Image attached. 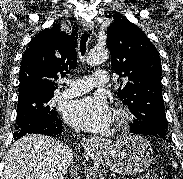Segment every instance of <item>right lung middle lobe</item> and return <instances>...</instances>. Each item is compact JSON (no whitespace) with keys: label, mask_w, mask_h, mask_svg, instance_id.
Segmentation results:
<instances>
[{"label":"right lung middle lobe","mask_w":183,"mask_h":179,"mask_svg":"<svg viewBox=\"0 0 183 179\" xmlns=\"http://www.w3.org/2000/svg\"><path fill=\"white\" fill-rule=\"evenodd\" d=\"M52 97L53 94H39L18 98L16 131L30 124L56 121V108L49 103Z\"/></svg>","instance_id":"1"}]
</instances>
